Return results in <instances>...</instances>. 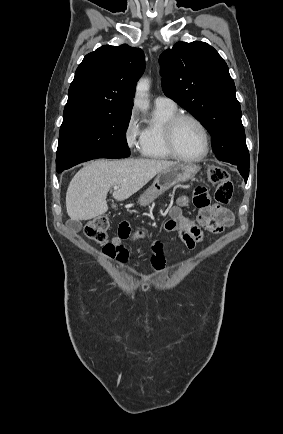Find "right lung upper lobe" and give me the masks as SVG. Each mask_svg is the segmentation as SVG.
Listing matches in <instances>:
<instances>
[{"instance_id":"right-lung-upper-lobe-1","label":"right lung upper lobe","mask_w":283,"mask_h":434,"mask_svg":"<svg viewBox=\"0 0 283 434\" xmlns=\"http://www.w3.org/2000/svg\"><path fill=\"white\" fill-rule=\"evenodd\" d=\"M145 69L140 48L104 45L87 54L72 81L63 118L131 113L136 82Z\"/></svg>"}]
</instances>
